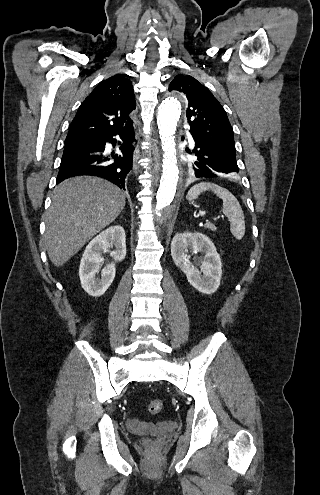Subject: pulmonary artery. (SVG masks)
Here are the masks:
<instances>
[{"mask_svg": "<svg viewBox=\"0 0 320 495\" xmlns=\"http://www.w3.org/2000/svg\"><path fill=\"white\" fill-rule=\"evenodd\" d=\"M189 141H190L191 143H193V142H194V140H193V138H192V137H189Z\"/></svg>", "mask_w": 320, "mask_h": 495, "instance_id": "e3ab8cb5", "label": "pulmonary artery"}]
</instances>
